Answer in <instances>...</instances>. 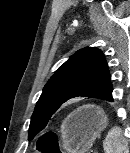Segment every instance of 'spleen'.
<instances>
[{
  "label": "spleen",
  "mask_w": 130,
  "mask_h": 153,
  "mask_svg": "<svg viewBox=\"0 0 130 153\" xmlns=\"http://www.w3.org/2000/svg\"><path fill=\"white\" fill-rule=\"evenodd\" d=\"M103 148L105 153H129L120 127H113L107 134Z\"/></svg>",
  "instance_id": "obj_1"
}]
</instances>
